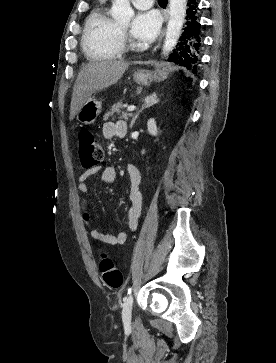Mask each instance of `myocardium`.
<instances>
[{
    "instance_id": "obj_1",
    "label": "myocardium",
    "mask_w": 276,
    "mask_h": 363,
    "mask_svg": "<svg viewBox=\"0 0 276 363\" xmlns=\"http://www.w3.org/2000/svg\"><path fill=\"white\" fill-rule=\"evenodd\" d=\"M120 39H121L123 48L126 46L132 45V41L128 36L127 30L122 27H120Z\"/></svg>"
}]
</instances>
